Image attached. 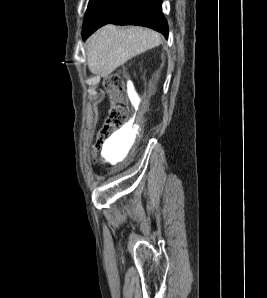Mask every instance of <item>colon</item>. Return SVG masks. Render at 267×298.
Here are the masks:
<instances>
[{
    "mask_svg": "<svg viewBox=\"0 0 267 298\" xmlns=\"http://www.w3.org/2000/svg\"><path fill=\"white\" fill-rule=\"evenodd\" d=\"M124 82L120 75L113 74L107 80V87L112 99L111 108L105 118L104 125L98 136L95 151H98L117 130L123 128L129 121L126 104L122 97Z\"/></svg>",
    "mask_w": 267,
    "mask_h": 298,
    "instance_id": "obj_1",
    "label": "colon"
}]
</instances>
